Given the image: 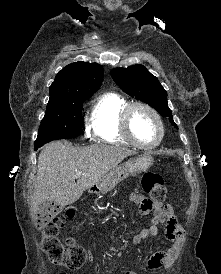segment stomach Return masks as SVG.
<instances>
[{
	"instance_id": "0dacf381",
	"label": "stomach",
	"mask_w": 221,
	"mask_h": 274,
	"mask_svg": "<svg viewBox=\"0 0 221 274\" xmlns=\"http://www.w3.org/2000/svg\"><path fill=\"white\" fill-rule=\"evenodd\" d=\"M152 164L153 157L149 153H144L137 157L130 158L108 172L97 184L94 185L93 190L98 193H107L119 182L130 176H136L138 173L147 170Z\"/></svg>"
}]
</instances>
